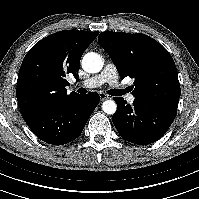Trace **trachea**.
Returning <instances> with one entry per match:
<instances>
[{
  "label": "trachea",
  "instance_id": "trachea-1",
  "mask_svg": "<svg viewBox=\"0 0 199 199\" xmlns=\"http://www.w3.org/2000/svg\"><path fill=\"white\" fill-rule=\"evenodd\" d=\"M78 93L85 94V93H87V90L85 88H79ZM108 93L112 96H121L124 94L123 92H121L120 90H117V89H112Z\"/></svg>",
  "mask_w": 199,
  "mask_h": 199
}]
</instances>
